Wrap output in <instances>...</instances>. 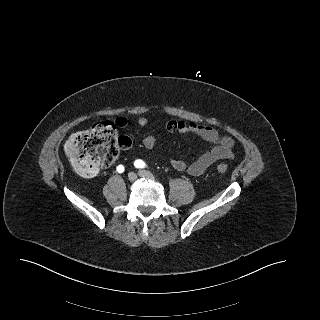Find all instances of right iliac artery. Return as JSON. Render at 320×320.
Masks as SVG:
<instances>
[{
	"mask_svg": "<svg viewBox=\"0 0 320 320\" xmlns=\"http://www.w3.org/2000/svg\"><path fill=\"white\" fill-rule=\"evenodd\" d=\"M117 171L119 172V173H122V172H124V167L122 166V165H119V166H117Z\"/></svg>",
	"mask_w": 320,
	"mask_h": 320,
	"instance_id": "82829eb1",
	"label": "right iliac artery"
}]
</instances>
